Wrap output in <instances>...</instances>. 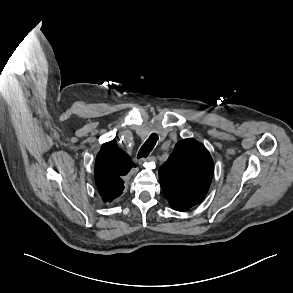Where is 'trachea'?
<instances>
[{
	"mask_svg": "<svg viewBox=\"0 0 293 293\" xmlns=\"http://www.w3.org/2000/svg\"><path fill=\"white\" fill-rule=\"evenodd\" d=\"M158 140V135L153 133L150 135V137L147 139V141L143 144V146L140 148L139 153L137 155V158H146L149 153L154 148L156 142Z\"/></svg>",
	"mask_w": 293,
	"mask_h": 293,
	"instance_id": "3493384b",
	"label": "trachea"
}]
</instances>
